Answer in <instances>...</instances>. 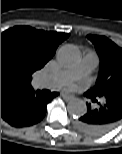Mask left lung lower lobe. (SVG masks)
I'll return each mask as SVG.
<instances>
[{"label": "left lung lower lobe", "mask_w": 122, "mask_h": 154, "mask_svg": "<svg viewBox=\"0 0 122 154\" xmlns=\"http://www.w3.org/2000/svg\"><path fill=\"white\" fill-rule=\"evenodd\" d=\"M96 103L99 99L87 96ZM92 109L87 103L88 111L75 121L80 131L90 135H102L111 131L122 120V89H117Z\"/></svg>", "instance_id": "obj_1"}]
</instances>
